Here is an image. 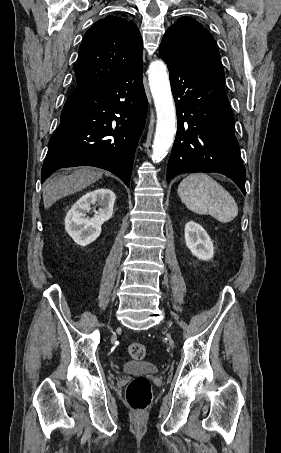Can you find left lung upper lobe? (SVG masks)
<instances>
[{"instance_id":"left-lung-upper-lobe-1","label":"left lung upper lobe","mask_w":281,"mask_h":453,"mask_svg":"<svg viewBox=\"0 0 281 453\" xmlns=\"http://www.w3.org/2000/svg\"><path fill=\"white\" fill-rule=\"evenodd\" d=\"M159 50L191 67L223 70L217 44L200 23L181 17L165 33Z\"/></svg>"}]
</instances>
